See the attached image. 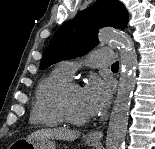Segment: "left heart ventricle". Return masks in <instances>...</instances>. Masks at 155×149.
I'll use <instances>...</instances> for the list:
<instances>
[{
  "label": "left heart ventricle",
  "instance_id": "obj_1",
  "mask_svg": "<svg viewBox=\"0 0 155 149\" xmlns=\"http://www.w3.org/2000/svg\"><path fill=\"white\" fill-rule=\"evenodd\" d=\"M67 104L74 116L78 118L88 117L82 103L81 88L75 87L69 90L67 94Z\"/></svg>",
  "mask_w": 155,
  "mask_h": 149
}]
</instances>
